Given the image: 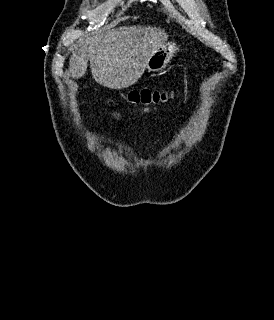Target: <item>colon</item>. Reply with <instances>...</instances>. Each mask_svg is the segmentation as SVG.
I'll return each mask as SVG.
<instances>
[{
    "instance_id": "colon-1",
    "label": "colon",
    "mask_w": 274,
    "mask_h": 320,
    "mask_svg": "<svg viewBox=\"0 0 274 320\" xmlns=\"http://www.w3.org/2000/svg\"><path fill=\"white\" fill-rule=\"evenodd\" d=\"M173 96L174 94L171 90L143 87L128 91L122 95L121 100L132 106L148 107L164 104L172 99Z\"/></svg>"
}]
</instances>
